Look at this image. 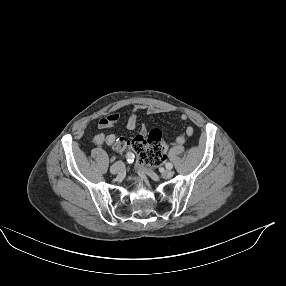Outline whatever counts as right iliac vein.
Segmentation results:
<instances>
[{
    "instance_id": "obj_1",
    "label": "right iliac vein",
    "mask_w": 286,
    "mask_h": 286,
    "mask_svg": "<svg viewBox=\"0 0 286 286\" xmlns=\"http://www.w3.org/2000/svg\"><path fill=\"white\" fill-rule=\"evenodd\" d=\"M123 171H124V164L121 161H118V162L114 163L110 167V172L112 174H121Z\"/></svg>"
}]
</instances>
